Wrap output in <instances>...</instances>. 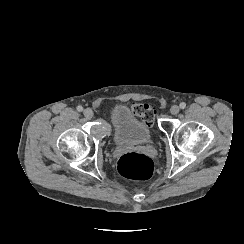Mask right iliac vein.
Segmentation results:
<instances>
[{"label":"right iliac vein","instance_id":"obj_1","mask_svg":"<svg viewBox=\"0 0 244 244\" xmlns=\"http://www.w3.org/2000/svg\"><path fill=\"white\" fill-rule=\"evenodd\" d=\"M83 114H84V116L86 117V118H88V119H90V118H92L93 117V111H92V109H90V108H86L84 111H83Z\"/></svg>","mask_w":244,"mask_h":244}]
</instances>
